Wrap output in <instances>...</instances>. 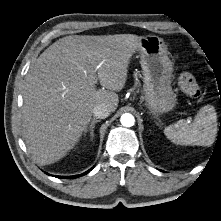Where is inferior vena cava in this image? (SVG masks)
Listing matches in <instances>:
<instances>
[{"instance_id":"1","label":"inferior vena cava","mask_w":221,"mask_h":221,"mask_svg":"<svg viewBox=\"0 0 221 221\" xmlns=\"http://www.w3.org/2000/svg\"><path fill=\"white\" fill-rule=\"evenodd\" d=\"M109 114L110 110L107 108L105 104H99L93 108V115L96 118L104 119L108 117Z\"/></svg>"}]
</instances>
